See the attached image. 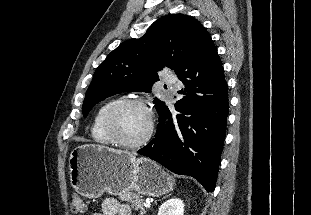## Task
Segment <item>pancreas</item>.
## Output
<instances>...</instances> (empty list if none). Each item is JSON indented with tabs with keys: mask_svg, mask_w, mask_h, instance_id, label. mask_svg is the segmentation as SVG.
I'll return each instance as SVG.
<instances>
[{
	"mask_svg": "<svg viewBox=\"0 0 311 215\" xmlns=\"http://www.w3.org/2000/svg\"><path fill=\"white\" fill-rule=\"evenodd\" d=\"M120 199L131 203V206L137 210L140 211V215H143L146 211L145 208L143 207V198L137 193L133 192H127L125 194L120 195Z\"/></svg>",
	"mask_w": 311,
	"mask_h": 215,
	"instance_id": "1",
	"label": "pancreas"
}]
</instances>
